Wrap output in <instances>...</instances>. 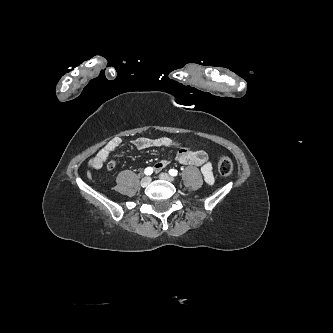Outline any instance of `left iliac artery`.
<instances>
[{
	"label": "left iliac artery",
	"mask_w": 333,
	"mask_h": 333,
	"mask_svg": "<svg viewBox=\"0 0 333 333\" xmlns=\"http://www.w3.org/2000/svg\"><path fill=\"white\" fill-rule=\"evenodd\" d=\"M169 174H170L171 176H177V175H178V171H177L176 169H170V170H169Z\"/></svg>",
	"instance_id": "obj_1"
}]
</instances>
